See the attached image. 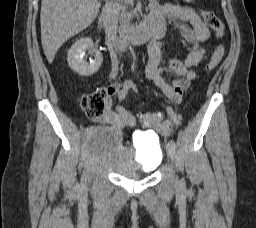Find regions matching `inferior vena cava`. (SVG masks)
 <instances>
[{
	"label": "inferior vena cava",
	"mask_w": 256,
	"mask_h": 228,
	"mask_svg": "<svg viewBox=\"0 0 256 228\" xmlns=\"http://www.w3.org/2000/svg\"><path fill=\"white\" fill-rule=\"evenodd\" d=\"M103 24L106 38L114 41L117 36L119 5L116 2H108L103 9Z\"/></svg>",
	"instance_id": "inferior-vena-cava-1"
}]
</instances>
